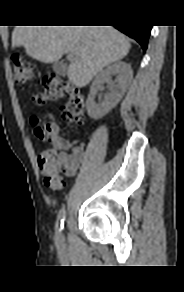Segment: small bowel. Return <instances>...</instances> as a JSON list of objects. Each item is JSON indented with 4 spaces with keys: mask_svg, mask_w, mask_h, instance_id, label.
Listing matches in <instances>:
<instances>
[{
    "mask_svg": "<svg viewBox=\"0 0 184 292\" xmlns=\"http://www.w3.org/2000/svg\"><path fill=\"white\" fill-rule=\"evenodd\" d=\"M52 144L56 148L57 160L60 164L62 172L66 176L75 175V173L80 168L84 160L83 147L74 146L71 148L70 143L59 135L58 128H57ZM69 148H71L70 153L66 151Z\"/></svg>",
    "mask_w": 184,
    "mask_h": 292,
    "instance_id": "obj_1",
    "label": "small bowel"
}]
</instances>
